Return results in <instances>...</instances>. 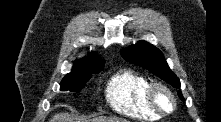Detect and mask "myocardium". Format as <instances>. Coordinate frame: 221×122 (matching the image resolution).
I'll use <instances>...</instances> for the list:
<instances>
[{
  "instance_id": "myocardium-1",
  "label": "myocardium",
  "mask_w": 221,
  "mask_h": 122,
  "mask_svg": "<svg viewBox=\"0 0 221 122\" xmlns=\"http://www.w3.org/2000/svg\"><path fill=\"white\" fill-rule=\"evenodd\" d=\"M160 92L165 93L169 97L171 101V108L169 110L164 109L160 105L158 101V94ZM147 99L151 108L161 116L172 114L176 110V107H177V100H176L174 93L166 84L162 82L150 83L148 90H147Z\"/></svg>"
}]
</instances>
